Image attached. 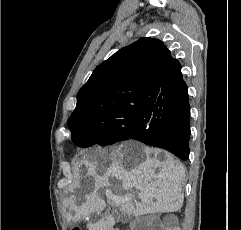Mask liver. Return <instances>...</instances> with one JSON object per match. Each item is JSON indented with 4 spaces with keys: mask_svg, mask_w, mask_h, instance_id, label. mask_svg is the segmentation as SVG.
I'll return each mask as SVG.
<instances>
[{
    "mask_svg": "<svg viewBox=\"0 0 241 230\" xmlns=\"http://www.w3.org/2000/svg\"><path fill=\"white\" fill-rule=\"evenodd\" d=\"M161 153L163 157L160 159ZM142 155L146 158L140 161ZM82 165L85 166L86 172L78 175L68 190L73 192L77 188H83L84 179L87 177L93 179L94 186L86 194V201L81 205H76L74 197L65 201L68 222L86 218L101 208L102 201L98 190L110 187V178L121 181L123 189L135 187L140 190V202L136 207L129 200L121 202L120 210L128 215L175 212L183 205L182 183L185 170L181 163L166 151L150 149L129 141L109 152H103L101 156H94L92 161L84 158L78 166V171ZM157 169L158 174L155 173ZM113 224L108 217L106 220L90 223L87 227L89 230H110Z\"/></svg>",
    "mask_w": 241,
    "mask_h": 230,
    "instance_id": "liver-1",
    "label": "liver"
}]
</instances>
